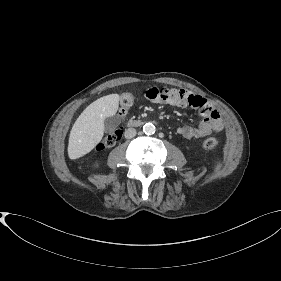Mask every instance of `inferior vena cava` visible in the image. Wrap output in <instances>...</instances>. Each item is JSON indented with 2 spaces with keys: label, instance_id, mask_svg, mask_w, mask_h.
<instances>
[{
  "label": "inferior vena cava",
  "instance_id": "602c4592",
  "mask_svg": "<svg viewBox=\"0 0 281 281\" xmlns=\"http://www.w3.org/2000/svg\"><path fill=\"white\" fill-rule=\"evenodd\" d=\"M124 136L127 139H131V138L135 137L136 136V129L128 128L127 130H125Z\"/></svg>",
  "mask_w": 281,
  "mask_h": 281
}]
</instances>
